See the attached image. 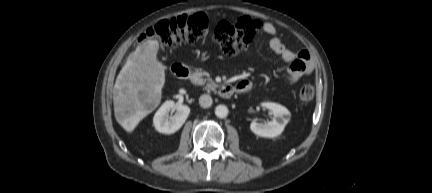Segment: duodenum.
Returning a JSON list of instances; mask_svg holds the SVG:
<instances>
[{
  "mask_svg": "<svg viewBox=\"0 0 432 193\" xmlns=\"http://www.w3.org/2000/svg\"><path fill=\"white\" fill-rule=\"evenodd\" d=\"M173 74L183 80H191L194 77V72L190 67L183 64H173L172 66ZM236 92V86L233 85H223L219 88V94L222 98H230Z\"/></svg>",
  "mask_w": 432,
  "mask_h": 193,
  "instance_id": "1",
  "label": "duodenum"
}]
</instances>
